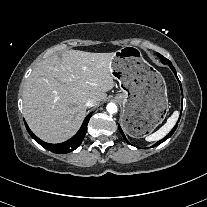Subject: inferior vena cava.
Here are the masks:
<instances>
[{"instance_id":"602c4592","label":"inferior vena cava","mask_w":207,"mask_h":207,"mask_svg":"<svg viewBox=\"0 0 207 207\" xmlns=\"http://www.w3.org/2000/svg\"><path fill=\"white\" fill-rule=\"evenodd\" d=\"M97 104L96 100L95 99H89L87 102H86V106L87 107H93Z\"/></svg>"}]
</instances>
